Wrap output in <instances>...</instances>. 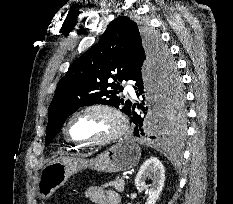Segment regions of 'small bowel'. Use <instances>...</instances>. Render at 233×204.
<instances>
[{"label":"small bowel","instance_id":"c3829d8e","mask_svg":"<svg viewBox=\"0 0 233 204\" xmlns=\"http://www.w3.org/2000/svg\"><path fill=\"white\" fill-rule=\"evenodd\" d=\"M85 197L95 204H119L120 196L113 190H104L101 187L92 186L85 191Z\"/></svg>","mask_w":233,"mask_h":204}]
</instances>
